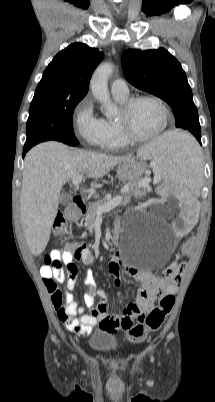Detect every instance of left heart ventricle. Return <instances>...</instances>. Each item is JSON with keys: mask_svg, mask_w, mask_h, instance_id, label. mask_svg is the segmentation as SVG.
<instances>
[{"mask_svg": "<svg viewBox=\"0 0 215 402\" xmlns=\"http://www.w3.org/2000/svg\"><path fill=\"white\" fill-rule=\"evenodd\" d=\"M130 121L136 134L146 136L155 133L162 127L164 115L156 103L141 101L133 108Z\"/></svg>", "mask_w": 215, "mask_h": 402, "instance_id": "1", "label": "left heart ventricle"}]
</instances>
